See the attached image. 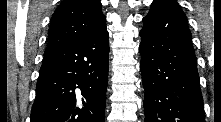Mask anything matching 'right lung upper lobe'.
Returning <instances> with one entry per match:
<instances>
[{
    "label": "right lung upper lobe",
    "instance_id": "cb5924a9",
    "mask_svg": "<svg viewBox=\"0 0 221 122\" xmlns=\"http://www.w3.org/2000/svg\"><path fill=\"white\" fill-rule=\"evenodd\" d=\"M99 0H63L49 28L45 55L75 43L105 26Z\"/></svg>",
    "mask_w": 221,
    "mask_h": 122
}]
</instances>
